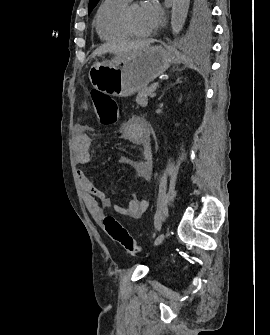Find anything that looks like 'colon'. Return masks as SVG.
I'll list each match as a JSON object with an SVG mask.
<instances>
[{"mask_svg":"<svg viewBox=\"0 0 270 335\" xmlns=\"http://www.w3.org/2000/svg\"><path fill=\"white\" fill-rule=\"evenodd\" d=\"M90 99L102 125L111 126L117 121L119 112L114 98L100 90L92 89L90 91ZM104 227L108 236L127 253L131 255L140 253V246L134 241L118 217L107 215L104 218Z\"/></svg>","mask_w":270,"mask_h":335,"instance_id":"obj_1","label":"colon"}]
</instances>
